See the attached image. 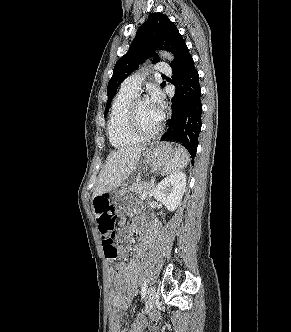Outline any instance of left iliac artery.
Segmentation results:
<instances>
[{
    "mask_svg": "<svg viewBox=\"0 0 291 332\" xmlns=\"http://www.w3.org/2000/svg\"><path fill=\"white\" fill-rule=\"evenodd\" d=\"M147 287H148V281H147V279H145L142 286H141V298L142 299L145 297Z\"/></svg>",
    "mask_w": 291,
    "mask_h": 332,
    "instance_id": "obj_1",
    "label": "left iliac artery"
}]
</instances>
